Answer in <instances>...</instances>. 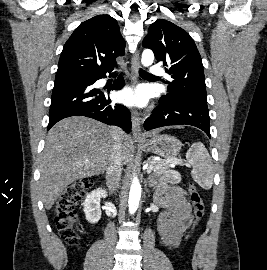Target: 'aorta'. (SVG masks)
Listing matches in <instances>:
<instances>
[{
	"instance_id": "obj_1",
	"label": "aorta",
	"mask_w": 267,
	"mask_h": 270,
	"mask_svg": "<svg viewBox=\"0 0 267 270\" xmlns=\"http://www.w3.org/2000/svg\"><path fill=\"white\" fill-rule=\"evenodd\" d=\"M154 61V54L150 49H145L142 53L141 63L144 67H149L152 65ZM141 184L137 177H134L132 180L129 199H128V206L130 214H134L139 206L140 198H141Z\"/></svg>"
}]
</instances>
